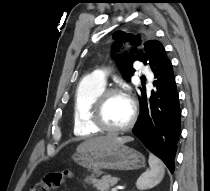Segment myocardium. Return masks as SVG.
Instances as JSON below:
<instances>
[{
    "label": "myocardium",
    "instance_id": "obj_1",
    "mask_svg": "<svg viewBox=\"0 0 210 191\" xmlns=\"http://www.w3.org/2000/svg\"><path fill=\"white\" fill-rule=\"evenodd\" d=\"M116 94L123 95L127 97L128 100L130 101L131 117L126 125L118 128H112L106 124V121L103 116V111L108 98ZM136 119H137L136 102L117 87L105 88L101 93H99L98 96L94 99L89 113V121L95 128H97L99 131L113 133V134L122 133L130 130L134 126Z\"/></svg>",
    "mask_w": 210,
    "mask_h": 191
}]
</instances>
